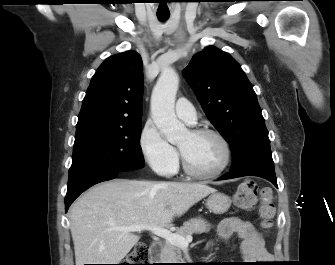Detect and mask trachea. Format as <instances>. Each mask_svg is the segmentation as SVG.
<instances>
[{
    "label": "trachea",
    "instance_id": "1",
    "mask_svg": "<svg viewBox=\"0 0 335 265\" xmlns=\"http://www.w3.org/2000/svg\"><path fill=\"white\" fill-rule=\"evenodd\" d=\"M160 21H166L169 18V14H157Z\"/></svg>",
    "mask_w": 335,
    "mask_h": 265
}]
</instances>
